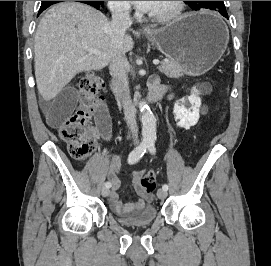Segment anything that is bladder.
I'll list each match as a JSON object with an SVG mask.
<instances>
[{
	"mask_svg": "<svg viewBox=\"0 0 271 266\" xmlns=\"http://www.w3.org/2000/svg\"><path fill=\"white\" fill-rule=\"evenodd\" d=\"M156 217L157 210L154 206H147L131 217L116 216L118 222L126 226H148Z\"/></svg>",
	"mask_w": 271,
	"mask_h": 266,
	"instance_id": "31cf9c89",
	"label": "bladder"
}]
</instances>
